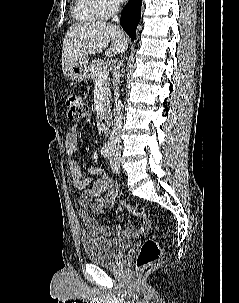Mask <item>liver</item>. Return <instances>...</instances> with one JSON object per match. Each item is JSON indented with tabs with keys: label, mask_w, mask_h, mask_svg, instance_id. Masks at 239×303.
I'll return each instance as SVG.
<instances>
[{
	"label": "liver",
	"mask_w": 239,
	"mask_h": 303,
	"mask_svg": "<svg viewBox=\"0 0 239 303\" xmlns=\"http://www.w3.org/2000/svg\"><path fill=\"white\" fill-rule=\"evenodd\" d=\"M110 40L113 43L106 51L107 56H114L128 47V37L110 23L93 20L70 26L63 39V73L66 74L68 65L73 61L101 53L107 48Z\"/></svg>",
	"instance_id": "1"
}]
</instances>
